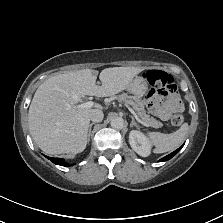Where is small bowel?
I'll list each match as a JSON object with an SVG mask.
<instances>
[{"mask_svg":"<svg viewBox=\"0 0 223 223\" xmlns=\"http://www.w3.org/2000/svg\"><path fill=\"white\" fill-rule=\"evenodd\" d=\"M145 104L155 116L162 120L169 119L174 112L183 109L182 102L176 91H170L165 87L150 90L145 96Z\"/></svg>","mask_w":223,"mask_h":223,"instance_id":"small-bowel-1","label":"small bowel"}]
</instances>
